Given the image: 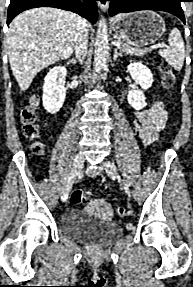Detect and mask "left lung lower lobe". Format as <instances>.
Returning <instances> with one entry per match:
<instances>
[{"label":"left lung lower lobe","instance_id":"left-lung-lower-lobe-1","mask_svg":"<svg viewBox=\"0 0 193 287\" xmlns=\"http://www.w3.org/2000/svg\"><path fill=\"white\" fill-rule=\"evenodd\" d=\"M110 1L109 13L134 12L139 10H159L177 16L185 24V17L180 2L183 0H108Z\"/></svg>","mask_w":193,"mask_h":287}]
</instances>
